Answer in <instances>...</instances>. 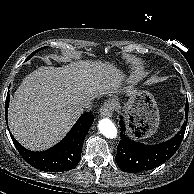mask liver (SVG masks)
I'll return each mask as SVG.
<instances>
[{
  "instance_id": "liver-1",
  "label": "liver",
  "mask_w": 194,
  "mask_h": 194,
  "mask_svg": "<svg viewBox=\"0 0 194 194\" xmlns=\"http://www.w3.org/2000/svg\"><path fill=\"white\" fill-rule=\"evenodd\" d=\"M125 74L111 63L79 60L63 67H39L27 75L11 98L8 124L30 150H44L61 140L82 111L81 101L125 89Z\"/></svg>"
}]
</instances>
